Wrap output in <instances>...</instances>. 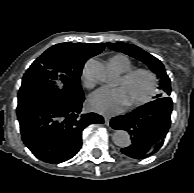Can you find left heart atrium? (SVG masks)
I'll list each match as a JSON object with an SVG mask.
<instances>
[{"label": "left heart atrium", "mask_w": 194, "mask_h": 193, "mask_svg": "<svg viewBox=\"0 0 194 193\" xmlns=\"http://www.w3.org/2000/svg\"><path fill=\"white\" fill-rule=\"evenodd\" d=\"M127 105L124 91L121 87L100 88L89 98V107L98 113L115 114Z\"/></svg>", "instance_id": "1"}]
</instances>
